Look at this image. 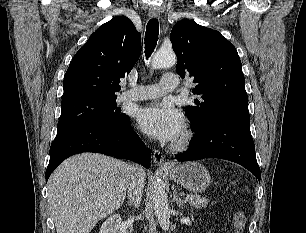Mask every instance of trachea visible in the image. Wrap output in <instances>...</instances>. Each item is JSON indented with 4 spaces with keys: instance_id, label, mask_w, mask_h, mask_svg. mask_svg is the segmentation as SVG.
Returning a JSON list of instances; mask_svg holds the SVG:
<instances>
[{
    "instance_id": "1",
    "label": "trachea",
    "mask_w": 306,
    "mask_h": 233,
    "mask_svg": "<svg viewBox=\"0 0 306 233\" xmlns=\"http://www.w3.org/2000/svg\"><path fill=\"white\" fill-rule=\"evenodd\" d=\"M159 35V23L156 18L150 19L145 32V55L150 57L154 51Z\"/></svg>"
}]
</instances>
